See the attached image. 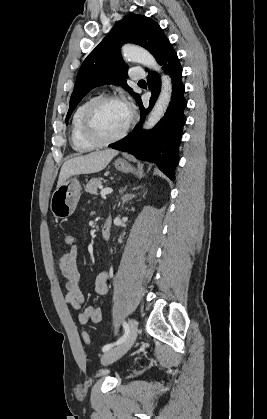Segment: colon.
Wrapping results in <instances>:
<instances>
[{"mask_svg": "<svg viewBox=\"0 0 267 419\" xmlns=\"http://www.w3.org/2000/svg\"><path fill=\"white\" fill-rule=\"evenodd\" d=\"M63 242L66 245V247L69 248L75 244V238L71 233H66L63 236ZM83 340L86 344H89L91 342L90 335L87 332L83 333Z\"/></svg>", "mask_w": 267, "mask_h": 419, "instance_id": "1", "label": "colon"}]
</instances>
